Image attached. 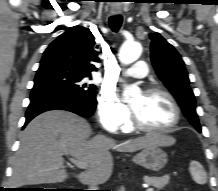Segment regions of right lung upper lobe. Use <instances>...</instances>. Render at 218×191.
Here are the masks:
<instances>
[{"instance_id": "cb5924a9", "label": "right lung upper lobe", "mask_w": 218, "mask_h": 191, "mask_svg": "<svg viewBox=\"0 0 218 191\" xmlns=\"http://www.w3.org/2000/svg\"><path fill=\"white\" fill-rule=\"evenodd\" d=\"M94 36L88 28L74 26L55 39L45 50L43 58L68 64L73 69L91 75L99 62Z\"/></svg>"}]
</instances>
